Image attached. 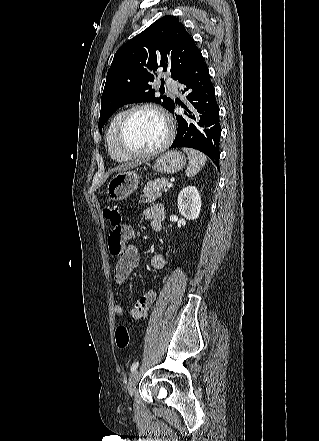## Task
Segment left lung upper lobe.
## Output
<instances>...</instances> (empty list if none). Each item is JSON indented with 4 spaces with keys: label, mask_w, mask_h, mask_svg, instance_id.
Segmentation results:
<instances>
[{
    "label": "left lung upper lobe",
    "mask_w": 319,
    "mask_h": 441,
    "mask_svg": "<svg viewBox=\"0 0 319 441\" xmlns=\"http://www.w3.org/2000/svg\"><path fill=\"white\" fill-rule=\"evenodd\" d=\"M200 50L176 17L164 16L122 45L108 70L101 98L99 130L121 106L155 102L170 110L173 100L155 97L149 85L158 68L169 70L178 80L196 59ZM163 82V80H162Z\"/></svg>",
    "instance_id": "left-lung-upper-lobe-1"
}]
</instances>
